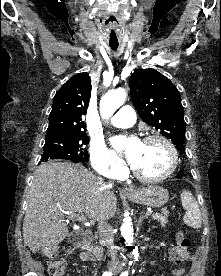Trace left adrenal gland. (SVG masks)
<instances>
[{"instance_id": "a2214340", "label": "left adrenal gland", "mask_w": 221, "mask_h": 276, "mask_svg": "<svg viewBox=\"0 0 221 276\" xmlns=\"http://www.w3.org/2000/svg\"><path fill=\"white\" fill-rule=\"evenodd\" d=\"M144 219H147V216L144 215V212H141L140 218L138 220V224L140 225Z\"/></svg>"}]
</instances>
